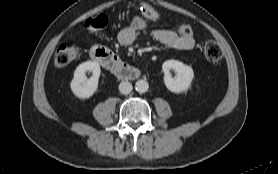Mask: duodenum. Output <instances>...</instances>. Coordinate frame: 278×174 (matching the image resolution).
Here are the masks:
<instances>
[{
  "mask_svg": "<svg viewBox=\"0 0 278 174\" xmlns=\"http://www.w3.org/2000/svg\"><path fill=\"white\" fill-rule=\"evenodd\" d=\"M90 55L95 62L121 79H135L140 75L137 68L125 63L119 56L105 47H92Z\"/></svg>",
  "mask_w": 278,
  "mask_h": 174,
  "instance_id": "duodenum-1",
  "label": "duodenum"
}]
</instances>
